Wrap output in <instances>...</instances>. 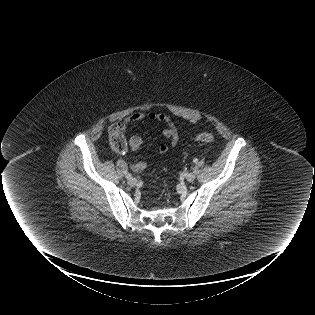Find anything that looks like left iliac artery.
<instances>
[{"mask_svg":"<svg viewBox=\"0 0 315 315\" xmlns=\"http://www.w3.org/2000/svg\"><path fill=\"white\" fill-rule=\"evenodd\" d=\"M193 162H194V163H197V162H198V159H194Z\"/></svg>","mask_w":315,"mask_h":315,"instance_id":"left-iliac-artery-1","label":"left iliac artery"}]
</instances>
